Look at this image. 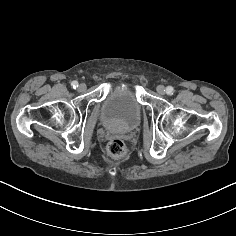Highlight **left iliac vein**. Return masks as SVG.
Wrapping results in <instances>:
<instances>
[{
	"label": "left iliac vein",
	"instance_id": "4c4485c4",
	"mask_svg": "<svg viewBox=\"0 0 236 236\" xmlns=\"http://www.w3.org/2000/svg\"><path fill=\"white\" fill-rule=\"evenodd\" d=\"M156 90H157L158 94H160V95L165 94V87L163 85L157 86Z\"/></svg>",
	"mask_w": 236,
	"mask_h": 236
}]
</instances>
